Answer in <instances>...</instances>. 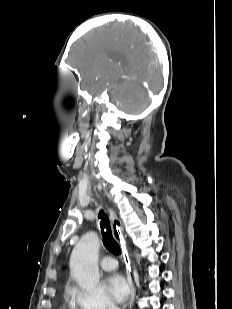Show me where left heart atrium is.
Instances as JSON below:
<instances>
[{
  "label": "left heart atrium",
  "mask_w": 232,
  "mask_h": 309,
  "mask_svg": "<svg viewBox=\"0 0 232 309\" xmlns=\"http://www.w3.org/2000/svg\"><path fill=\"white\" fill-rule=\"evenodd\" d=\"M107 288L113 299L119 303L126 302L130 297V285L121 273H112L107 278Z\"/></svg>",
  "instance_id": "left-heart-atrium-1"
}]
</instances>
